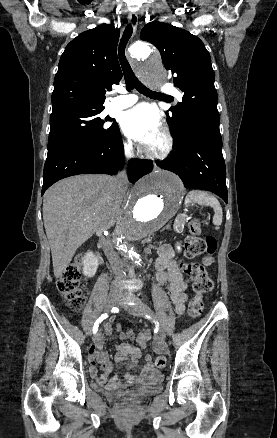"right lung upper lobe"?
Segmentation results:
<instances>
[{"instance_id":"cb5924a9","label":"right lung upper lobe","mask_w":277,"mask_h":438,"mask_svg":"<svg viewBox=\"0 0 277 438\" xmlns=\"http://www.w3.org/2000/svg\"><path fill=\"white\" fill-rule=\"evenodd\" d=\"M119 35L112 24H102L66 46L54 79L51 115L104 109L105 93L122 78L116 55Z\"/></svg>"}]
</instances>
